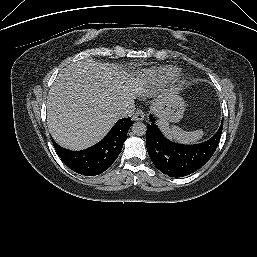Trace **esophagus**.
Segmentation results:
<instances>
[{
    "mask_svg": "<svg viewBox=\"0 0 257 257\" xmlns=\"http://www.w3.org/2000/svg\"><path fill=\"white\" fill-rule=\"evenodd\" d=\"M144 119V113L141 111H137L134 113L132 120L134 121H142Z\"/></svg>",
    "mask_w": 257,
    "mask_h": 257,
    "instance_id": "34e87169",
    "label": "esophagus"
}]
</instances>
